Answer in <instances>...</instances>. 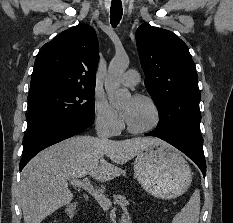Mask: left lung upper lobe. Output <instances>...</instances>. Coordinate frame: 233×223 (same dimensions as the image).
Segmentation results:
<instances>
[{
    "label": "left lung upper lobe",
    "mask_w": 233,
    "mask_h": 223,
    "mask_svg": "<svg viewBox=\"0 0 233 223\" xmlns=\"http://www.w3.org/2000/svg\"><path fill=\"white\" fill-rule=\"evenodd\" d=\"M136 43L145 86L159 111L157 130L200 134L201 94L187 45L173 32L148 24L137 29Z\"/></svg>",
    "instance_id": "5c2ea615"
}]
</instances>
